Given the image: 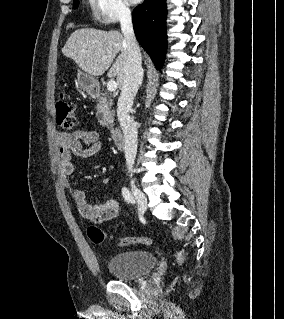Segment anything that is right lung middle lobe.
<instances>
[{
    "mask_svg": "<svg viewBox=\"0 0 284 319\" xmlns=\"http://www.w3.org/2000/svg\"><path fill=\"white\" fill-rule=\"evenodd\" d=\"M77 4H78V0H74L75 8L77 7Z\"/></svg>",
    "mask_w": 284,
    "mask_h": 319,
    "instance_id": "right-lung-middle-lobe-1",
    "label": "right lung middle lobe"
}]
</instances>
